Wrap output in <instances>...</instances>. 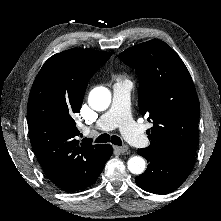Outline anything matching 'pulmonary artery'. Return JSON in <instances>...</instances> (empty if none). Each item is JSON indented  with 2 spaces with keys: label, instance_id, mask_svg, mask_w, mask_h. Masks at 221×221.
<instances>
[{
  "label": "pulmonary artery",
  "instance_id": "pulmonary-artery-1",
  "mask_svg": "<svg viewBox=\"0 0 221 221\" xmlns=\"http://www.w3.org/2000/svg\"><path fill=\"white\" fill-rule=\"evenodd\" d=\"M132 83L129 80L117 81L113 85V99L110 108L96 121L95 128L108 131L119 127L122 134L132 145L144 148L149 140L143 129L133 121L130 114V92Z\"/></svg>",
  "mask_w": 221,
  "mask_h": 221
}]
</instances>
